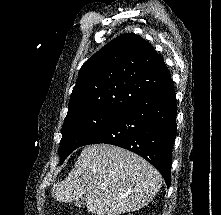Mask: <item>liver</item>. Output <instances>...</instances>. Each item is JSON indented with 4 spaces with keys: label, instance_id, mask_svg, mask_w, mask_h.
<instances>
[{
    "label": "liver",
    "instance_id": "1",
    "mask_svg": "<svg viewBox=\"0 0 221 215\" xmlns=\"http://www.w3.org/2000/svg\"><path fill=\"white\" fill-rule=\"evenodd\" d=\"M162 184L156 168L137 154L109 144L87 145L69 175L52 188L59 202L85 196L89 212L120 215L149 204Z\"/></svg>",
    "mask_w": 221,
    "mask_h": 215
}]
</instances>
